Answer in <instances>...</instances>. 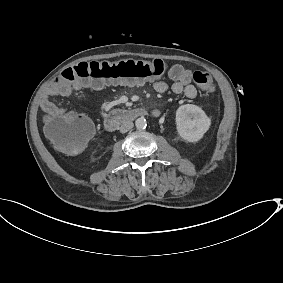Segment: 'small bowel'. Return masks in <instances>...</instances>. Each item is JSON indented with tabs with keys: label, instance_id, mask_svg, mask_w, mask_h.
Wrapping results in <instances>:
<instances>
[{
	"label": "small bowel",
	"instance_id": "1",
	"mask_svg": "<svg viewBox=\"0 0 283 283\" xmlns=\"http://www.w3.org/2000/svg\"><path fill=\"white\" fill-rule=\"evenodd\" d=\"M168 77L172 80L169 86L166 82L155 80L152 82V87L159 93H164L168 90L176 94L183 93L187 98L193 99L197 96V89L191 84L192 73L180 64H175L170 67ZM73 87L69 84H62L57 81L52 83L45 91V97L41 103L42 110L48 116H62L66 114V109L53 99L56 97H66L71 95ZM152 114L155 117L160 115L158 109H153Z\"/></svg>",
	"mask_w": 283,
	"mask_h": 283
}]
</instances>
